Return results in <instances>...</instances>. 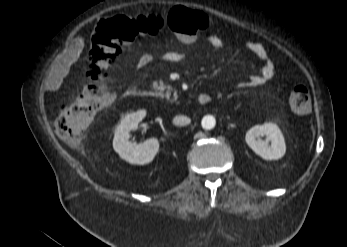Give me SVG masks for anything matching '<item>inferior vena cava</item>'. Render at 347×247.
Wrapping results in <instances>:
<instances>
[{
  "label": "inferior vena cava",
  "mask_w": 347,
  "mask_h": 247,
  "mask_svg": "<svg viewBox=\"0 0 347 247\" xmlns=\"http://www.w3.org/2000/svg\"><path fill=\"white\" fill-rule=\"evenodd\" d=\"M191 120L187 116L177 115L173 118V124L176 126H186L190 124Z\"/></svg>",
  "instance_id": "602c4592"
}]
</instances>
